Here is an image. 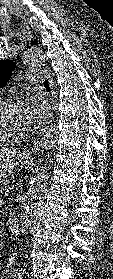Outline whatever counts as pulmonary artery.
Returning <instances> with one entry per match:
<instances>
[{
    "instance_id": "obj_1",
    "label": "pulmonary artery",
    "mask_w": 113,
    "mask_h": 279,
    "mask_svg": "<svg viewBox=\"0 0 113 279\" xmlns=\"http://www.w3.org/2000/svg\"><path fill=\"white\" fill-rule=\"evenodd\" d=\"M25 78H26V83L29 85L31 83L41 81L44 77H43V74H41V73H38V74L28 73L25 75Z\"/></svg>"
}]
</instances>
